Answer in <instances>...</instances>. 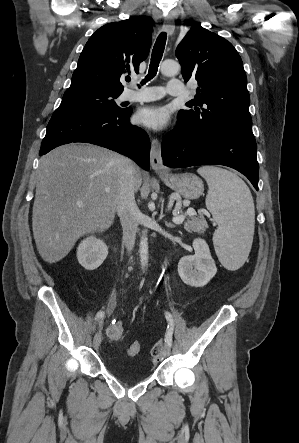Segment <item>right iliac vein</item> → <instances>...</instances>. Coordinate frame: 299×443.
I'll return each instance as SVG.
<instances>
[{"instance_id": "right-iliac-vein-1", "label": "right iliac vein", "mask_w": 299, "mask_h": 443, "mask_svg": "<svg viewBox=\"0 0 299 443\" xmlns=\"http://www.w3.org/2000/svg\"><path fill=\"white\" fill-rule=\"evenodd\" d=\"M102 324V320L99 321V325ZM101 344V335L100 332H97L93 338V347L94 349H98Z\"/></svg>"}]
</instances>
